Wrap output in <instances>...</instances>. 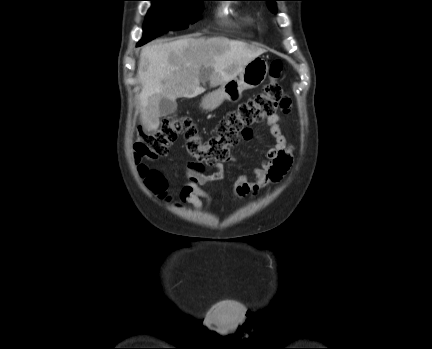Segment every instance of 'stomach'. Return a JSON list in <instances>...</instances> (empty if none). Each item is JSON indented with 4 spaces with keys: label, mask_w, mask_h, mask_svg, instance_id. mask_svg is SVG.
<instances>
[{
    "label": "stomach",
    "mask_w": 432,
    "mask_h": 349,
    "mask_svg": "<svg viewBox=\"0 0 432 349\" xmlns=\"http://www.w3.org/2000/svg\"><path fill=\"white\" fill-rule=\"evenodd\" d=\"M269 73L267 61L262 57L251 60L238 75V77L222 84L217 90L206 94L202 98L201 107L212 111L224 100L238 102L246 89L256 88L261 85Z\"/></svg>",
    "instance_id": "1"
}]
</instances>
